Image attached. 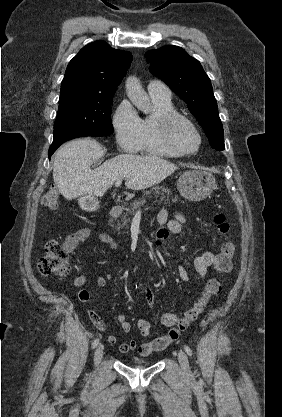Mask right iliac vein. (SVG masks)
<instances>
[{
  "mask_svg": "<svg viewBox=\"0 0 282 417\" xmlns=\"http://www.w3.org/2000/svg\"><path fill=\"white\" fill-rule=\"evenodd\" d=\"M103 357V348L102 346H98L94 352V363L97 365L100 363Z\"/></svg>",
  "mask_w": 282,
  "mask_h": 417,
  "instance_id": "1",
  "label": "right iliac vein"
}]
</instances>
